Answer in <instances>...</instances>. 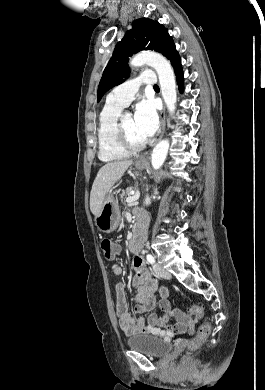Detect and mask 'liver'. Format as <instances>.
<instances>
[{"instance_id": "liver-1", "label": "liver", "mask_w": 265, "mask_h": 390, "mask_svg": "<svg viewBox=\"0 0 265 390\" xmlns=\"http://www.w3.org/2000/svg\"><path fill=\"white\" fill-rule=\"evenodd\" d=\"M132 160L109 162L102 166L93 182L90 193V210L97 216L111 187L124 175Z\"/></svg>"}]
</instances>
